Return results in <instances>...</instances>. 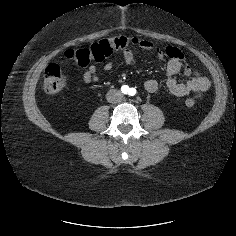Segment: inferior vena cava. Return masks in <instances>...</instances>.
<instances>
[{"instance_id":"inferior-vena-cava-1","label":"inferior vena cava","mask_w":236,"mask_h":236,"mask_svg":"<svg viewBox=\"0 0 236 236\" xmlns=\"http://www.w3.org/2000/svg\"><path fill=\"white\" fill-rule=\"evenodd\" d=\"M107 101L110 103H118L123 99V94L119 90H110L106 95Z\"/></svg>"}]
</instances>
